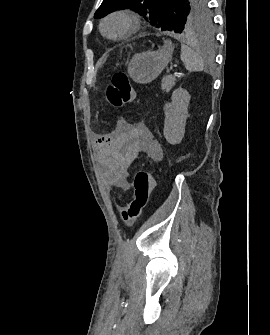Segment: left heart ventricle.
<instances>
[{"mask_svg": "<svg viewBox=\"0 0 270 335\" xmlns=\"http://www.w3.org/2000/svg\"><path fill=\"white\" fill-rule=\"evenodd\" d=\"M127 29V24L120 20L114 19L106 25V32L111 36H117L125 32Z\"/></svg>", "mask_w": 270, "mask_h": 335, "instance_id": "obj_1", "label": "left heart ventricle"}]
</instances>
